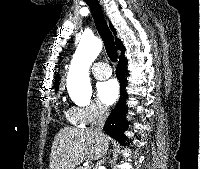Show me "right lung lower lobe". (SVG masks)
I'll return each mask as SVG.
<instances>
[{
  "instance_id": "98d812e1",
  "label": "right lung lower lobe",
  "mask_w": 200,
  "mask_h": 169,
  "mask_svg": "<svg viewBox=\"0 0 200 169\" xmlns=\"http://www.w3.org/2000/svg\"><path fill=\"white\" fill-rule=\"evenodd\" d=\"M126 63L127 59L124 56L121 57L116 70V75L121 85V98L119 99L116 107L113 109L104 125L106 134L115 138L121 144H124L126 136L123 133L128 128V123L125 118L127 113V106L125 104L127 98L125 93V86L126 76L128 74Z\"/></svg>"
}]
</instances>
